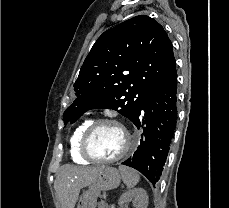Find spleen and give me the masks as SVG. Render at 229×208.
<instances>
[{
    "mask_svg": "<svg viewBox=\"0 0 229 208\" xmlns=\"http://www.w3.org/2000/svg\"><path fill=\"white\" fill-rule=\"evenodd\" d=\"M119 172L127 188H134V186H137L140 178L136 170H132V168H128V166H119Z\"/></svg>",
    "mask_w": 229,
    "mask_h": 208,
    "instance_id": "1",
    "label": "spleen"
}]
</instances>
